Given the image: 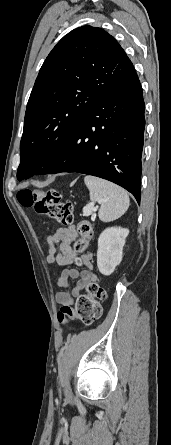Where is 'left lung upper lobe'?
<instances>
[{
	"label": "left lung upper lobe",
	"instance_id": "left-lung-upper-lobe-1",
	"mask_svg": "<svg viewBox=\"0 0 171 445\" xmlns=\"http://www.w3.org/2000/svg\"><path fill=\"white\" fill-rule=\"evenodd\" d=\"M134 71L122 47L104 30L87 25L65 35L44 61L31 92L17 179L46 166L88 108Z\"/></svg>",
	"mask_w": 171,
	"mask_h": 445
}]
</instances>
